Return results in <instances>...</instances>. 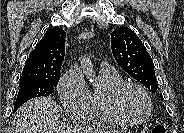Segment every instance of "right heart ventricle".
Returning <instances> with one entry per match:
<instances>
[{
  "label": "right heart ventricle",
  "mask_w": 184,
  "mask_h": 133,
  "mask_svg": "<svg viewBox=\"0 0 184 133\" xmlns=\"http://www.w3.org/2000/svg\"><path fill=\"white\" fill-rule=\"evenodd\" d=\"M101 84L91 92V111L86 121L98 125H117V120L110 114L105 96L109 89L123 82L121 75L115 70L101 68L99 71Z\"/></svg>",
  "instance_id": "right-heart-ventricle-1"
}]
</instances>
